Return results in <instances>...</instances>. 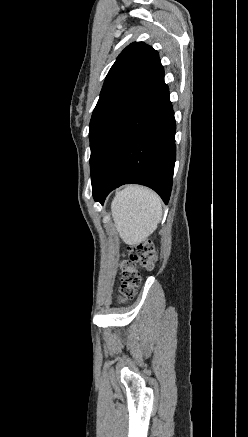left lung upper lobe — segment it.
<instances>
[{
	"mask_svg": "<svg viewBox=\"0 0 248 437\" xmlns=\"http://www.w3.org/2000/svg\"><path fill=\"white\" fill-rule=\"evenodd\" d=\"M163 83L158 52L144 42L130 44L117 57L90 121L91 181L116 131Z\"/></svg>",
	"mask_w": 248,
	"mask_h": 437,
	"instance_id": "5c2ea615",
	"label": "left lung upper lobe"
}]
</instances>
